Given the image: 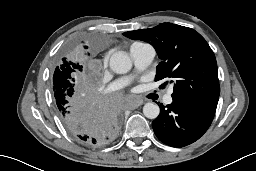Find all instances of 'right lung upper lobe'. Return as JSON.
I'll use <instances>...</instances> for the list:
<instances>
[{
  "instance_id": "obj_1",
  "label": "right lung upper lobe",
  "mask_w": 256,
  "mask_h": 171,
  "mask_svg": "<svg viewBox=\"0 0 256 171\" xmlns=\"http://www.w3.org/2000/svg\"><path fill=\"white\" fill-rule=\"evenodd\" d=\"M61 107H62V108H66V106H62V105L60 106V108H61ZM58 111H59V109H58Z\"/></svg>"
}]
</instances>
